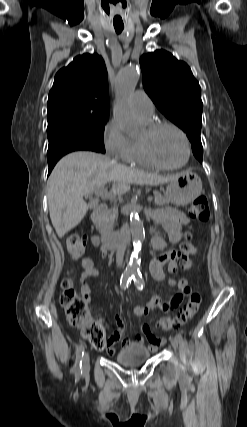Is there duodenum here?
I'll use <instances>...</instances> for the list:
<instances>
[{"instance_id":"1","label":"duodenum","mask_w":247,"mask_h":427,"mask_svg":"<svg viewBox=\"0 0 247 427\" xmlns=\"http://www.w3.org/2000/svg\"><path fill=\"white\" fill-rule=\"evenodd\" d=\"M105 211H106V206L104 204H101L98 207H96L92 213V216H91L92 222L97 227L98 231H99L98 226H99L100 220L103 217ZM128 232H129V225H125L123 229V234L126 236ZM96 238L106 250H114L119 245V240L114 235H111V234H106L99 231V234L98 236H96Z\"/></svg>"}]
</instances>
